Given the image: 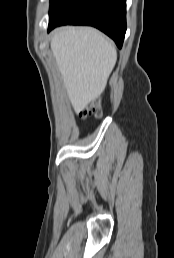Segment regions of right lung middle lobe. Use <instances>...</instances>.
Segmentation results:
<instances>
[{
    "instance_id": "dd1d6c3e",
    "label": "right lung middle lobe",
    "mask_w": 174,
    "mask_h": 258,
    "mask_svg": "<svg viewBox=\"0 0 174 258\" xmlns=\"http://www.w3.org/2000/svg\"><path fill=\"white\" fill-rule=\"evenodd\" d=\"M67 0H50L49 16L51 17Z\"/></svg>"
}]
</instances>
